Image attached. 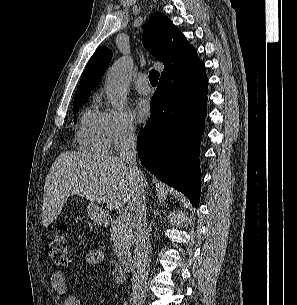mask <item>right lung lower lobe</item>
<instances>
[{
  "instance_id": "98d812e1",
  "label": "right lung lower lobe",
  "mask_w": 297,
  "mask_h": 305,
  "mask_svg": "<svg viewBox=\"0 0 297 305\" xmlns=\"http://www.w3.org/2000/svg\"><path fill=\"white\" fill-rule=\"evenodd\" d=\"M208 81L201 61L191 70L160 78L151 100V116L139 133L143 165L163 182L199 205V147L204 130Z\"/></svg>"
}]
</instances>
